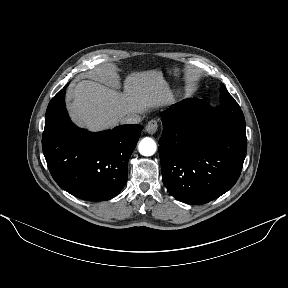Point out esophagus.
I'll list each match as a JSON object with an SVG mask.
<instances>
[{"mask_svg": "<svg viewBox=\"0 0 288 288\" xmlns=\"http://www.w3.org/2000/svg\"><path fill=\"white\" fill-rule=\"evenodd\" d=\"M158 127H159L158 122L152 119L147 123L145 130L148 134L153 135L157 132Z\"/></svg>", "mask_w": 288, "mask_h": 288, "instance_id": "esophagus-1", "label": "esophagus"}]
</instances>
